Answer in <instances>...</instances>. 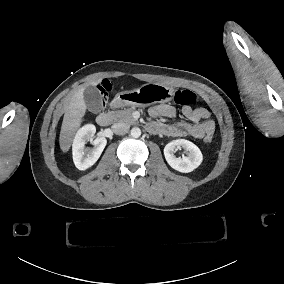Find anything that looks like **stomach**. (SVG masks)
Wrapping results in <instances>:
<instances>
[{"instance_id":"stomach-1","label":"stomach","mask_w":284,"mask_h":284,"mask_svg":"<svg viewBox=\"0 0 284 284\" xmlns=\"http://www.w3.org/2000/svg\"><path fill=\"white\" fill-rule=\"evenodd\" d=\"M174 89L161 83H147L141 87L116 94L112 104L116 107H142L172 100Z\"/></svg>"}]
</instances>
